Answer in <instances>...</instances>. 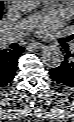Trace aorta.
I'll use <instances>...</instances> for the list:
<instances>
[{"mask_svg": "<svg viewBox=\"0 0 74 122\" xmlns=\"http://www.w3.org/2000/svg\"><path fill=\"white\" fill-rule=\"evenodd\" d=\"M17 8L21 11H31L36 9L42 1H14ZM43 63L50 67L56 68L63 62L64 56L61 49L55 45L46 46L41 54Z\"/></svg>", "mask_w": 74, "mask_h": 122, "instance_id": "aorta-1", "label": "aorta"}]
</instances>
